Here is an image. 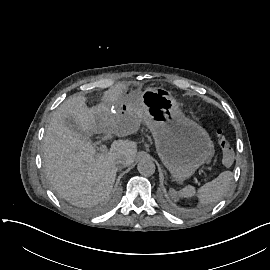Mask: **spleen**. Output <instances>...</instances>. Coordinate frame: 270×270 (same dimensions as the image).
Instances as JSON below:
<instances>
[{"label": "spleen", "mask_w": 270, "mask_h": 270, "mask_svg": "<svg viewBox=\"0 0 270 270\" xmlns=\"http://www.w3.org/2000/svg\"><path fill=\"white\" fill-rule=\"evenodd\" d=\"M232 176L233 174L231 171H224L220 173L217 178L203 185L198 190L200 203L209 204L219 201L228 191ZM171 194L176 195L177 192L172 190ZM178 195L182 197H191L195 195V188L193 186H187L180 190Z\"/></svg>", "instance_id": "3e777b00"}]
</instances>
